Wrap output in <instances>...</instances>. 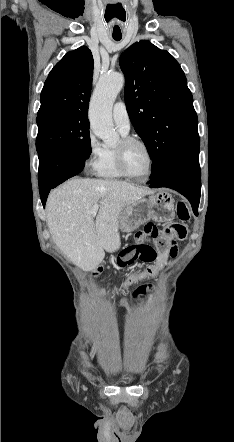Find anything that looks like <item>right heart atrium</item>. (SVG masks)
<instances>
[{"label": "right heart atrium", "instance_id": "right-heart-atrium-1", "mask_svg": "<svg viewBox=\"0 0 234 442\" xmlns=\"http://www.w3.org/2000/svg\"><path fill=\"white\" fill-rule=\"evenodd\" d=\"M87 148L86 167L89 171L96 172L102 159L104 148L91 130L87 135Z\"/></svg>", "mask_w": 234, "mask_h": 442}]
</instances>
